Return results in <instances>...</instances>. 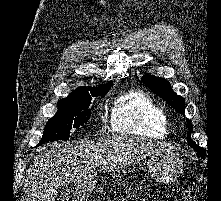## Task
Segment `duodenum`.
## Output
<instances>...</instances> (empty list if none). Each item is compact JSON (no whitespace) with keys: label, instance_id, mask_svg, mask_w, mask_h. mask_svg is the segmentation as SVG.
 <instances>
[{"label":"duodenum","instance_id":"obj_1","mask_svg":"<svg viewBox=\"0 0 221 201\" xmlns=\"http://www.w3.org/2000/svg\"><path fill=\"white\" fill-rule=\"evenodd\" d=\"M82 195L81 194H78L77 196H76V201H82Z\"/></svg>","mask_w":221,"mask_h":201}]
</instances>
